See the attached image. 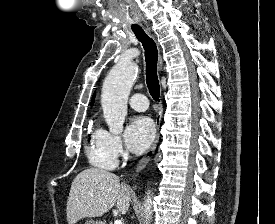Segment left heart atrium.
<instances>
[{"mask_svg": "<svg viewBox=\"0 0 275 224\" xmlns=\"http://www.w3.org/2000/svg\"><path fill=\"white\" fill-rule=\"evenodd\" d=\"M155 138V125L146 116H136L129 122L125 141L127 147L134 153H143Z\"/></svg>", "mask_w": 275, "mask_h": 224, "instance_id": "39dd6f15", "label": "left heart atrium"}]
</instances>
